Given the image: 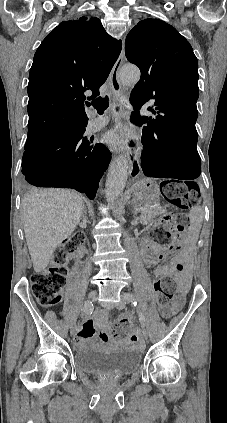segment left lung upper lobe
<instances>
[{
  "instance_id": "1",
  "label": "left lung upper lobe",
  "mask_w": 227,
  "mask_h": 423,
  "mask_svg": "<svg viewBox=\"0 0 227 423\" xmlns=\"http://www.w3.org/2000/svg\"><path fill=\"white\" fill-rule=\"evenodd\" d=\"M125 53L136 64L141 78L130 103L163 115L197 118L198 61L189 42L159 19L140 21L127 35Z\"/></svg>"
}]
</instances>
